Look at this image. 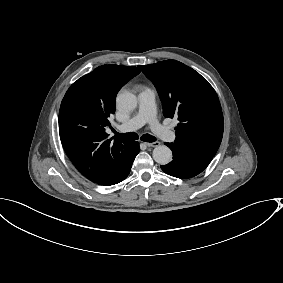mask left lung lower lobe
I'll return each instance as SVG.
<instances>
[{
    "label": "left lung lower lobe",
    "instance_id": "left-lung-lower-lobe-1",
    "mask_svg": "<svg viewBox=\"0 0 283 283\" xmlns=\"http://www.w3.org/2000/svg\"><path fill=\"white\" fill-rule=\"evenodd\" d=\"M173 152V160L161 169L173 177L187 179L201 173L213 157L188 150L174 143H165Z\"/></svg>",
    "mask_w": 283,
    "mask_h": 283
}]
</instances>
